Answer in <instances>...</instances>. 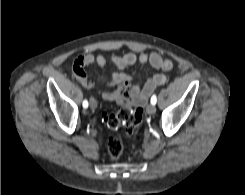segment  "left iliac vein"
Here are the masks:
<instances>
[{
    "mask_svg": "<svg viewBox=\"0 0 245 195\" xmlns=\"http://www.w3.org/2000/svg\"><path fill=\"white\" fill-rule=\"evenodd\" d=\"M146 111L148 114H154L156 112V108L153 104H149L146 107Z\"/></svg>",
    "mask_w": 245,
    "mask_h": 195,
    "instance_id": "left-iliac-vein-1",
    "label": "left iliac vein"
}]
</instances>
